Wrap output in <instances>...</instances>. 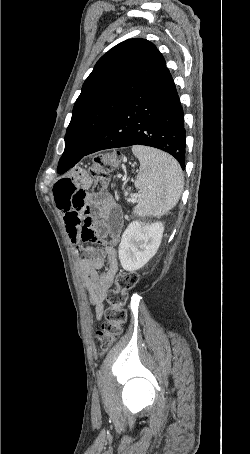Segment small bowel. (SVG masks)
I'll return each instance as SVG.
<instances>
[{"label":"small bowel","instance_id":"small-bowel-1","mask_svg":"<svg viewBox=\"0 0 250 454\" xmlns=\"http://www.w3.org/2000/svg\"><path fill=\"white\" fill-rule=\"evenodd\" d=\"M91 182L90 176L83 171L73 177L61 178L54 186V198L63 215L67 235L79 256L83 282L95 306L96 318L100 319L104 298L118 271L115 244L122 232L123 215L109 194L87 192ZM85 243L100 244L102 248ZM102 268L104 270L100 272Z\"/></svg>","mask_w":250,"mask_h":454}]
</instances>
